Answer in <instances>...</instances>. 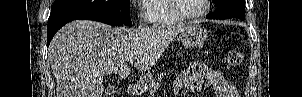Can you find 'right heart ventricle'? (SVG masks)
I'll return each mask as SVG.
<instances>
[{"instance_id": "obj_1", "label": "right heart ventricle", "mask_w": 302, "mask_h": 97, "mask_svg": "<svg viewBox=\"0 0 302 97\" xmlns=\"http://www.w3.org/2000/svg\"><path fill=\"white\" fill-rule=\"evenodd\" d=\"M147 13L151 23L158 27L173 26L181 22L172 12L170 0H149Z\"/></svg>"}]
</instances>
